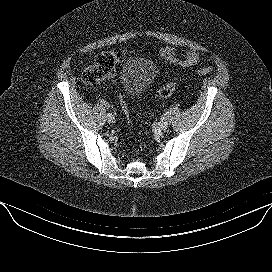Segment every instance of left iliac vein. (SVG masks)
<instances>
[{
	"label": "left iliac vein",
	"instance_id": "left-iliac-vein-1",
	"mask_svg": "<svg viewBox=\"0 0 272 272\" xmlns=\"http://www.w3.org/2000/svg\"><path fill=\"white\" fill-rule=\"evenodd\" d=\"M158 128L162 131H165L168 128V124L165 121L159 122L158 123Z\"/></svg>",
	"mask_w": 272,
	"mask_h": 272
}]
</instances>
